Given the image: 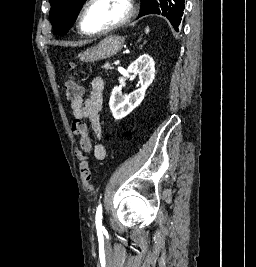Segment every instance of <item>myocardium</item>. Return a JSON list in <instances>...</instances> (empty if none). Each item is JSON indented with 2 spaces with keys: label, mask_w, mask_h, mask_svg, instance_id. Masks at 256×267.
Returning <instances> with one entry per match:
<instances>
[{
  "label": "myocardium",
  "mask_w": 256,
  "mask_h": 267,
  "mask_svg": "<svg viewBox=\"0 0 256 267\" xmlns=\"http://www.w3.org/2000/svg\"><path fill=\"white\" fill-rule=\"evenodd\" d=\"M97 1H102V0H89L88 2H86L78 11V27L80 29V31L87 35V36H102L105 34L110 33L111 31L118 29L120 27H122L123 25H125L130 18L133 15V7L132 5L127 1V0H113L116 3L120 4L121 6L124 7L125 9V16L123 17L122 20L118 21L117 23L113 24L112 26H110L107 29L101 30V31H88L85 27H84V23H83V15L85 10L93 3L97 2Z\"/></svg>",
  "instance_id": "1"
}]
</instances>
